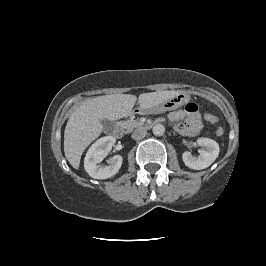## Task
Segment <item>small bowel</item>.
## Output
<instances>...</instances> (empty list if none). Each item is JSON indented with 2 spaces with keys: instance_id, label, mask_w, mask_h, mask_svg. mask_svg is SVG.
Returning a JSON list of instances; mask_svg holds the SVG:
<instances>
[{
  "instance_id": "1",
  "label": "small bowel",
  "mask_w": 266,
  "mask_h": 266,
  "mask_svg": "<svg viewBox=\"0 0 266 266\" xmlns=\"http://www.w3.org/2000/svg\"><path fill=\"white\" fill-rule=\"evenodd\" d=\"M168 119L175 123L176 131L185 136H194L202 128L198 106L193 102L186 104L183 109L170 112Z\"/></svg>"
}]
</instances>
